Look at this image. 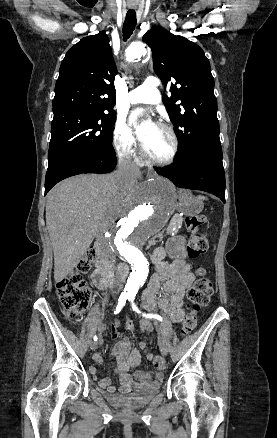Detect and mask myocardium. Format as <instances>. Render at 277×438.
I'll return each mask as SVG.
<instances>
[{
	"instance_id": "1",
	"label": "myocardium",
	"mask_w": 277,
	"mask_h": 438,
	"mask_svg": "<svg viewBox=\"0 0 277 438\" xmlns=\"http://www.w3.org/2000/svg\"><path fill=\"white\" fill-rule=\"evenodd\" d=\"M155 125L159 128H161L163 131H165L171 138L172 140V152L171 155L165 159V160H161V159H157L152 157L145 149L143 142H140V149H141V154L142 156L151 164L154 165H158V166H167L172 164L175 159L177 158V155L179 153V138L176 134V132L174 131V129L172 127H170L169 125L162 123V122H157L155 123Z\"/></svg>"
}]
</instances>
